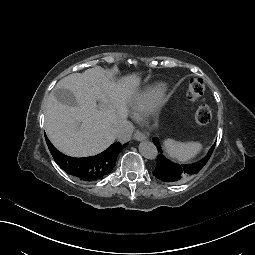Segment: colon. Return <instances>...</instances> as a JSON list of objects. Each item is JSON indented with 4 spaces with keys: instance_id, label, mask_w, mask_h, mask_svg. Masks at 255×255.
I'll list each match as a JSON object with an SVG mask.
<instances>
[{
    "instance_id": "5ec220e1",
    "label": "colon",
    "mask_w": 255,
    "mask_h": 255,
    "mask_svg": "<svg viewBox=\"0 0 255 255\" xmlns=\"http://www.w3.org/2000/svg\"><path fill=\"white\" fill-rule=\"evenodd\" d=\"M205 92L204 81L200 78L191 79L188 90H187V99L189 103L196 104L200 101ZM212 118V110L209 105L201 104L199 105L194 112V119L200 125H205L210 122Z\"/></svg>"
}]
</instances>
